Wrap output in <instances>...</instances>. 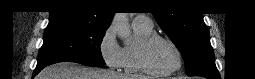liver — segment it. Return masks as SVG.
Instances as JSON below:
<instances>
[{
	"label": "liver",
	"mask_w": 255,
	"mask_h": 79,
	"mask_svg": "<svg viewBox=\"0 0 255 79\" xmlns=\"http://www.w3.org/2000/svg\"><path fill=\"white\" fill-rule=\"evenodd\" d=\"M37 79H147V77L122 75L112 70L88 68L73 62H60L44 68Z\"/></svg>",
	"instance_id": "6515ba94"
}]
</instances>
